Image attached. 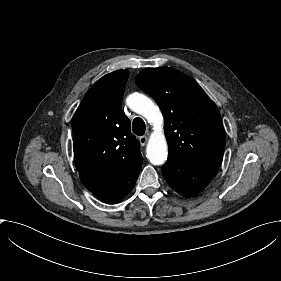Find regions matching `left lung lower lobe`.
Wrapping results in <instances>:
<instances>
[{"instance_id": "obj_1", "label": "left lung lower lobe", "mask_w": 281, "mask_h": 281, "mask_svg": "<svg viewBox=\"0 0 281 281\" xmlns=\"http://www.w3.org/2000/svg\"><path fill=\"white\" fill-rule=\"evenodd\" d=\"M217 165H192L168 158L162 173L171 188L189 197L201 192L217 171Z\"/></svg>"}]
</instances>
